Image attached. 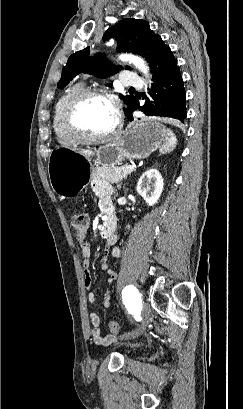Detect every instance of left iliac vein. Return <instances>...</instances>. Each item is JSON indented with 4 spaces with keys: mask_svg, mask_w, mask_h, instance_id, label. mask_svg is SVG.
<instances>
[{
    "mask_svg": "<svg viewBox=\"0 0 243 409\" xmlns=\"http://www.w3.org/2000/svg\"><path fill=\"white\" fill-rule=\"evenodd\" d=\"M151 315V309L150 306L145 303L143 305V310H142V316L144 318L142 324L139 326V328H137L136 330L129 332V333H124L121 336V339H130V338H136L138 337L145 329L146 325L148 324L149 318Z\"/></svg>",
    "mask_w": 243,
    "mask_h": 409,
    "instance_id": "left-iliac-vein-1",
    "label": "left iliac vein"
}]
</instances>
